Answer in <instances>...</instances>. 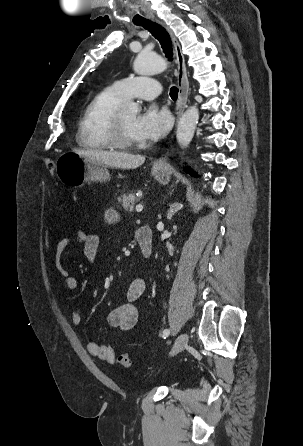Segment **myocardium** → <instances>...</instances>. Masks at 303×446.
Instances as JSON below:
<instances>
[{"mask_svg": "<svg viewBox=\"0 0 303 446\" xmlns=\"http://www.w3.org/2000/svg\"><path fill=\"white\" fill-rule=\"evenodd\" d=\"M110 141L112 147L118 149L129 150L139 147L137 141H132L125 135L120 111H117L111 120Z\"/></svg>", "mask_w": 303, "mask_h": 446, "instance_id": "obj_1", "label": "myocardium"}]
</instances>
